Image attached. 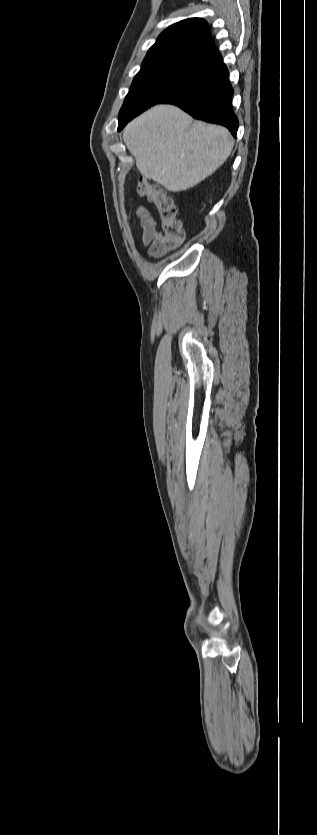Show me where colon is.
Listing matches in <instances>:
<instances>
[{
	"label": "colon",
	"mask_w": 317,
	"mask_h": 835,
	"mask_svg": "<svg viewBox=\"0 0 317 835\" xmlns=\"http://www.w3.org/2000/svg\"><path fill=\"white\" fill-rule=\"evenodd\" d=\"M137 192L154 204L162 223V238L159 249L168 252L176 249L184 239L182 223L178 218V208L173 199L162 189L150 184L145 179L137 183Z\"/></svg>",
	"instance_id": "obj_1"
}]
</instances>
